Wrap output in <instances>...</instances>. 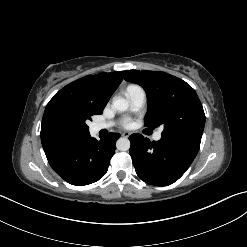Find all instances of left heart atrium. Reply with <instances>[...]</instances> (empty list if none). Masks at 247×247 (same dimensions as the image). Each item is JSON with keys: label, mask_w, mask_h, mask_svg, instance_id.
Listing matches in <instances>:
<instances>
[{"label": "left heart atrium", "mask_w": 247, "mask_h": 247, "mask_svg": "<svg viewBox=\"0 0 247 247\" xmlns=\"http://www.w3.org/2000/svg\"><path fill=\"white\" fill-rule=\"evenodd\" d=\"M130 123H129V121H126L125 122V126H128Z\"/></svg>", "instance_id": "1"}]
</instances>
